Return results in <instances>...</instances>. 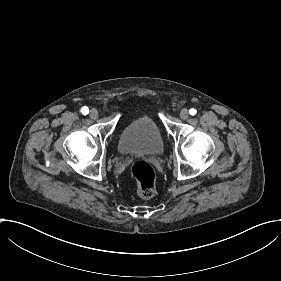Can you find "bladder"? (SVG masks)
<instances>
[{
    "mask_svg": "<svg viewBox=\"0 0 281 281\" xmlns=\"http://www.w3.org/2000/svg\"><path fill=\"white\" fill-rule=\"evenodd\" d=\"M163 148L160 130L149 116L133 120L122 129L119 136V150L125 154L157 156Z\"/></svg>",
    "mask_w": 281,
    "mask_h": 281,
    "instance_id": "bladder-1",
    "label": "bladder"
}]
</instances>
